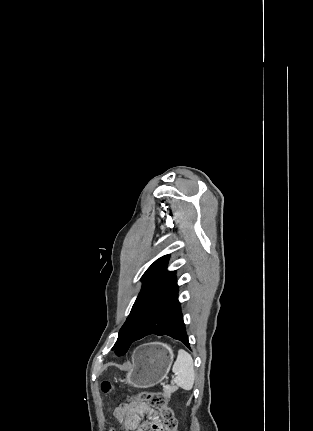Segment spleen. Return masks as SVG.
Instances as JSON below:
<instances>
[{
    "mask_svg": "<svg viewBox=\"0 0 313 431\" xmlns=\"http://www.w3.org/2000/svg\"><path fill=\"white\" fill-rule=\"evenodd\" d=\"M172 371L175 374L174 382L184 390H191L194 385L195 371L193 359L189 353L180 349Z\"/></svg>",
    "mask_w": 313,
    "mask_h": 431,
    "instance_id": "3e777b00",
    "label": "spleen"
}]
</instances>
